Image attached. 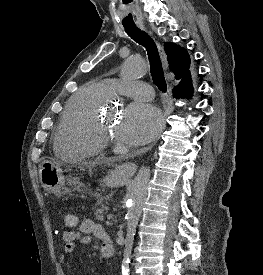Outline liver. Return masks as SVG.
<instances>
[{"instance_id":"6515ba94","label":"liver","mask_w":263,"mask_h":275,"mask_svg":"<svg viewBox=\"0 0 263 275\" xmlns=\"http://www.w3.org/2000/svg\"><path fill=\"white\" fill-rule=\"evenodd\" d=\"M87 165L93 166V165H94V163L92 162V163H89V164H87Z\"/></svg>"}]
</instances>
